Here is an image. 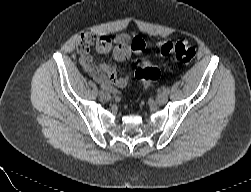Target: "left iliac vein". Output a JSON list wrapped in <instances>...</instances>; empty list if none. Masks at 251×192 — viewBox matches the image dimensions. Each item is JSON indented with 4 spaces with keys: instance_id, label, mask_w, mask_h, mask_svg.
Instances as JSON below:
<instances>
[{
    "instance_id": "left-iliac-vein-1",
    "label": "left iliac vein",
    "mask_w": 251,
    "mask_h": 192,
    "mask_svg": "<svg viewBox=\"0 0 251 192\" xmlns=\"http://www.w3.org/2000/svg\"><path fill=\"white\" fill-rule=\"evenodd\" d=\"M157 103L162 105V104H165L167 101H168V94L167 93H161L157 96V99H156Z\"/></svg>"
}]
</instances>
